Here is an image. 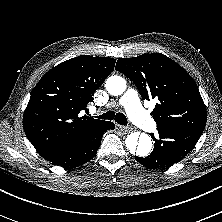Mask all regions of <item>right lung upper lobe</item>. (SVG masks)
Wrapping results in <instances>:
<instances>
[{
  "label": "right lung upper lobe",
  "mask_w": 222,
  "mask_h": 222,
  "mask_svg": "<svg viewBox=\"0 0 222 222\" xmlns=\"http://www.w3.org/2000/svg\"><path fill=\"white\" fill-rule=\"evenodd\" d=\"M115 61L82 55L55 66L37 83L24 111L23 127L40 155L82 141L105 122L79 113L93 100Z\"/></svg>",
  "instance_id": "right-lung-upper-lobe-1"
}]
</instances>
